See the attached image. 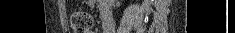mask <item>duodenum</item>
<instances>
[{
    "instance_id": "duodenum-1",
    "label": "duodenum",
    "mask_w": 235,
    "mask_h": 33,
    "mask_svg": "<svg viewBox=\"0 0 235 33\" xmlns=\"http://www.w3.org/2000/svg\"><path fill=\"white\" fill-rule=\"evenodd\" d=\"M109 26H110V24H109L108 22H105V23H104V29H105V32H106V33H107L108 30H109Z\"/></svg>"
}]
</instances>
